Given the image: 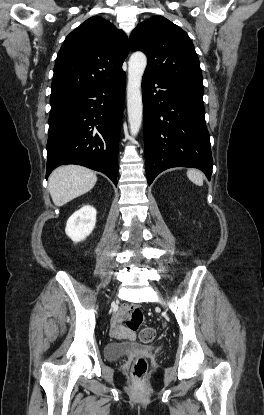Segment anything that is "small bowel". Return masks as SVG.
<instances>
[{
  "label": "small bowel",
  "instance_id": "small-bowel-1",
  "mask_svg": "<svg viewBox=\"0 0 264 415\" xmlns=\"http://www.w3.org/2000/svg\"><path fill=\"white\" fill-rule=\"evenodd\" d=\"M129 308L124 306L115 312L111 317L110 336L116 340L134 339V331L123 326V321L129 312Z\"/></svg>",
  "mask_w": 264,
  "mask_h": 415
}]
</instances>
